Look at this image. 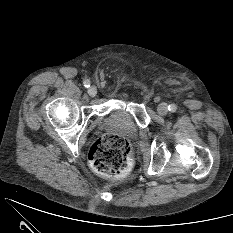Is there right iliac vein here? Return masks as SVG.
I'll return each instance as SVG.
<instances>
[{"mask_svg":"<svg viewBox=\"0 0 233 233\" xmlns=\"http://www.w3.org/2000/svg\"><path fill=\"white\" fill-rule=\"evenodd\" d=\"M87 92L89 96L94 97L97 94V88L95 86H91Z\"/></svg>","mask_w":233,"mask_h":233,"instance_id":"obj_1","label":"right iliac vein"}]
</instances>
